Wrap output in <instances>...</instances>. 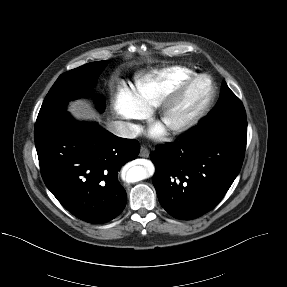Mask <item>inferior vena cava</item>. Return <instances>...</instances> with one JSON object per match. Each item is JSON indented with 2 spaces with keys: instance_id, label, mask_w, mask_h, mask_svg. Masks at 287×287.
Here are the masks:
<instances>
[{
  "instance_id": "1",
  "label": "inferior vena cava",
  "mask_w": 287,
  "mask_h": 287,
  "mask_svg": "<svg viewBox=\"0 0 287 287\" xmlns=\"http://www.w3.org/2000/svg\"><path fill=\"white\" fill-rule=\"evenodd\" d=\"M109 130L116 136L128 139L136 138L139 133L137 125L124 121L111 122Z\"/></svg>"
}]
</instances>
